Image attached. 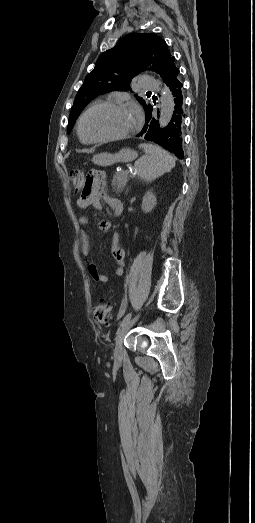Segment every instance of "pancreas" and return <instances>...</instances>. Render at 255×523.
Segmentation results:
<instances>
[{"label": "pancreas", "mask_w": 255, "mask_h": 523, "mask_svg": "<svg viewBox=\"0 0 255 523\" xmlns=\"http://www.w3.org/2000/svg\"><path fill=\"white\" fill-rule=\"evenodd\" d=\"M127 182L128 174H125L124 172H116L112 180V186H115L114 190L116 194H119V192H122V190H124Z\"/></svg>", "instance_id": "1"}]
</instances>
